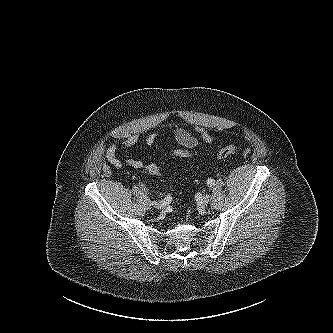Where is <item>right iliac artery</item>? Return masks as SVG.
I'll list each match as a JSON object with an SVG mask.
<instances>
[{"mask_svg": "<svg viewBox=\"0 0 333 333\" xmlns=\"http://www.w3.org/2000/svg\"><path fill=\"white\" fill-rule=\"evenodd\" d=\"M141 186L143 187L144 191L147 192V188L143 184H141ZM162 201L165 204H169L172 201V197L170 195H167L164 199H162Z\"/></svg>", "mask_w": 333, "mask_h": 333, "instance_id": "1", "label": "right iliac artery"}]
</instances>
